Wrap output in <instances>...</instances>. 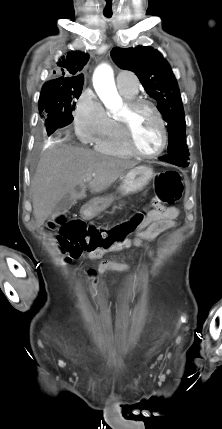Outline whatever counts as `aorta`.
<instances>
[{
	"mask_svg": "<svg viewBox=\"0 0 222 429\" xmlns=\"http://www.w3.org/2000/svg\"><path fill=\"white\" fill-rule=\"evenodd\" d=\"M93 86L105 107L113 112L122 105L115 82L113 70L108 64H101L93 75Z\"/></svg>",
	"mask_w": 222,
	"mask_h": 429,
	"instance_id": "aorta-1",
	"label": "aorta"
}]
</instances>
